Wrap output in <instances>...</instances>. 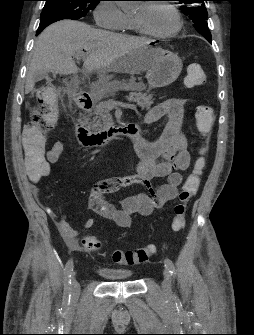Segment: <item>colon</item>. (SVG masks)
I'll return each instance as SVG.
<instances>
[{
	"label": "colon",
	"instance_id": "5ec220e1",
	"mask_svg": "<svg viewBox=\"0 0 254 335\" xmlns=\"http://www.w3.org/2000/svg\"><path fill=\"white\" fill-rule=\"evenodd\" d=\"M205 81V73L199 64H190L187 68L185 84L188 87H196ZM41 104L36 109L32 121L25 127L23 133V147L25 154H21V161L25 178H49L50 166L43 151L46 132L53 128L58 119L59 105L57 94L52 89H44L40 94ZM195 118L198 131L201 135H209L213 122L214 111L209 105H200L195 109ZM205 149L200 150L196 159L194 170L187 177L178 195V201L174 206V214L171 222L173 231H181L186 223V205L197 193L203 170L205 168ZM84 247L97 252L101 248L100 241L94 236H86L83 239ZM155 252L154 245L137 247L132 250H115L111 257L117 264L137 265L146 262Z\"/></svg>",
	"mask_w": 254,
	"mask_h": 335
}]
</instances>
